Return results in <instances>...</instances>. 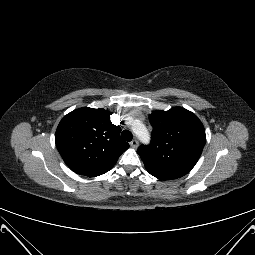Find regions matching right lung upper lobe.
<instances>
[{
	"instance_id": "right-lung-upper-lobe-1",
	"label": "right lung upper lobe",
	"mask_w": 255,
	"mask_h": 255,
	"mask_svg": "<svg viewBox=\"0 0 255 255\" xmlns=\"http://www.w3.org/2000/svg\"><path fill=\"white\" fill-rule=\"evenodd\" d=\"M104 109L88 107L68 113L59 123L55 141L67 166L77 174L96 177L108 172L129 144Z\"/></svg>"
}]
</instances>
